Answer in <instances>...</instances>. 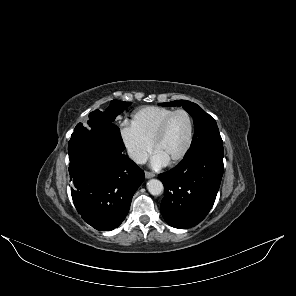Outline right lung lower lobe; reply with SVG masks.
<instances>
[{
	"instance_id": "1",
	"label": "right lung lower lobe",
	"mask_w": 296,
	"mask_h": 296,
	"mask_svg": "<svg viewBox=\"0 0 296 296\" xmlns=\"http://www.w3.org/2000/svg\"><path fill=\"white\" fill-rule=\"evenodd\" d=\"M77 124L68 144L74 205L89 225L100 231L118 227L128 214L144 172L122 154L120 130L114 124Z\"/></svg>"
}]
</instances>
